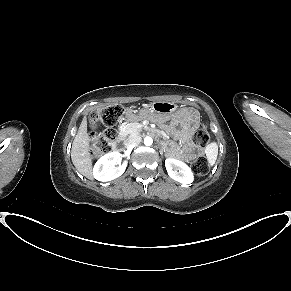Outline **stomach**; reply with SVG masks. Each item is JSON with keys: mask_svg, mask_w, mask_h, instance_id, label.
Instances as JSON below:
<instances>
[{"mask_svg": "<svg viewBox=\"0 0 291 291\" xmlns=\"http://www.w3.org/2000/svg\"><path fill=\"white\" fill-rule=\"evenodd\" d=\"M152 109L162 115H170L172 116V111L175 108H179V106L173 102H167V101H155L151 104Z\"/></svg>", "mask_w": 291, "mask_h": 291, "instance_id": "0dacf381", "label": "stomach"}]
</instances>
